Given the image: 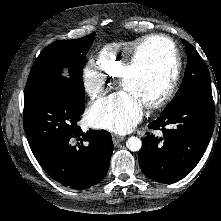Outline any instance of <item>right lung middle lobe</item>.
Listing matches in <instances>:
<instances>
[{
	"label": "right lung middle lobe",
	"mask_w": 221,
	"mask_h": 221,
	"mask_svg": "<svg viewBox=\"0 0 221 221\" xmlns=\"http://www.w3.org/2000/svg\"><path fill=\"white\" fill-rule=\"evenodd\" d=\"M95 37V33L75 40L56 41L46 47L38 56L29 74L24 99L38 93L55 80H64L84 94L82 69L84 59ZM63 67L69 69L70 78L60 75Z\"/></svg>",
	"instance_id": "dd1d6c3e"
}]
</instances>
